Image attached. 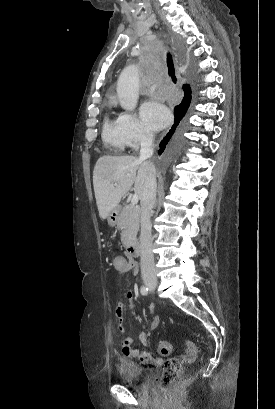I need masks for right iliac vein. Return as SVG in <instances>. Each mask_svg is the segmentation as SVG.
Returning <instances> with one entry per match:
<instances>
[{
  "mask_svg": "<svg viewBox=\"0 0 275 409\" xmlns=\"http://www.w3.org/2000/svg\"><path fill=\"white\" fill-rule=\"evenodd\" d=\"M146 286H147L149 289L154 290V289L156 288V286H157V283H154V282H146Z\"/></svg>",
  "mask_w": 275,
  "mask_h": 409,
  "instance_id": "obj_1",
  "label": "right iliac vein"
}]
</instances>
